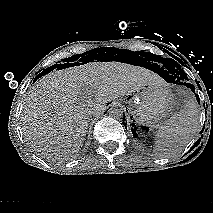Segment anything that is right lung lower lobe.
<instances>
[{"mask_svg": "<svg viewBox=\"0 0 213 213\" xmlns=\"http://www.w3.org/2000/svg\"><path fill=\"white\" fill-rule=\"evenodd\" d=\"M64 67H68V64L67 63H65V64H55V65L45 69L41 74L44 75V74H47L48 72L52 71L53 69H56V68L57 69H61V68H64ZM38 76H40V75H38Z\"/></svg>", "mask_w": 213, "mask_h": 213, "instance_id": "1", "label": "right lung lower lobe"}]
</instances>
